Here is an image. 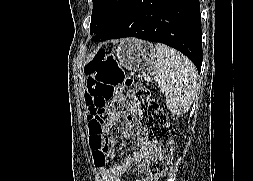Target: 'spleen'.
<instances>
[{"instance_id":"obj_1","label":"spleen","mask_w":253,"mask_h":181,"mask_svg":"<svg viewBox=\"0 0 253 181\" xmlns=\"http://www.w3.org/2000/svg\"><path fill=\"white\" fill-rule=\"evenodd\" d=\"M154 74L166 96L167 108L172 114L186 112L194 101L197 70L184 55L164 44L157 43Z\"/></svg>"}]
</instances>
